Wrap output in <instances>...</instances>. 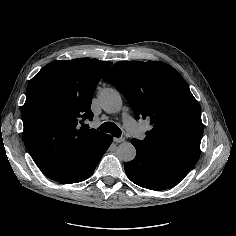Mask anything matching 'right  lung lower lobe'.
Returning a JSON list of instances; mask_svg holds the SVG:
<instances>
[{
    "mask_svg": "<svg viewBox=\"0 0 236 236\" xmlns=\"http://www.w3.org/2000/svg\"><path fill=\"white\" fill-rule=\"evenodd\" d=\"M113 138L105 134L92 145L82 148L65 167L53 178L54 181L63 184L77 183L87 179L95 170L103 154L109 148Z\"/></svg>",
    "mask_w": 236,
    "mask_h": 236,
    "instance_id": "right-lung-lower-lobe-1",
    "label": "right lung lower lobe"
}]
</instances>
